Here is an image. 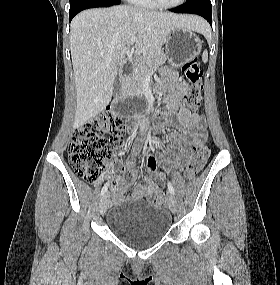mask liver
I'll use <instances>...</instances> for the list:
<instances>
[{
	"label": "liver",
	"instance_id": "liver-1",
	"mask_svg": "<svg viewBox=\"0 0 280 285\" xmlns=\"http://www.w3.org/2000/svg\"><path fill=\"white\" fill-rule=\"evenodd\" d=\"M203 32L205 22L194 15H176L129 5L89 9L71 22L70 51L76 85L74 127L102 112L113 94L118 65L131 53L153 55L161 51L175 27Z\"/></svg>",
	"mask_w": 280,
	"mask_h": 285
}]
</instances>
